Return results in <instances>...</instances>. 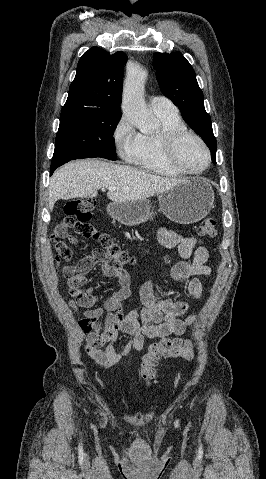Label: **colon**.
<instances>
[{"label":"colon","mask_w":266,"mask_h":479,"mask_svg":"<svg viewBox=\"0 0 266 479\" xmlns=\"http://www.w3.org/2000/svg\"><path fill=\"white\" fill-rule=\"evenodd\" d=\"M95 206V200L92 197H82L69 200L64 206V218L54 229V236L61 237L68 230L73 229L76 233L97 240L104 253V257L113 263L116 268H121L130 263L131 257L128 252L118 244L111 235L99 232L91 223L92 211ZM199 233L205 238H215L217 236L216 222L214 218H205L200 227ZM56 252L58 257L69 260L73 252L71 248L63 241H57ZM76 281L69 293L76 295L74 288ZM81 295L89 298L90 303L97 300L90 288L79 289ZM194 356L192 344L187 340L163 338L149 345L147 352L141 357L140 376L147 386L155 384V366L162 357H176L184 360H191Z\"/></svg>","instance_id":"colon-1"}]
</instances>
